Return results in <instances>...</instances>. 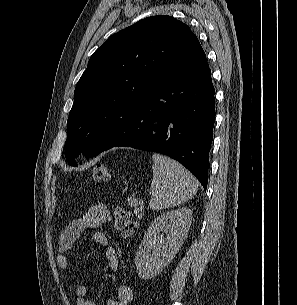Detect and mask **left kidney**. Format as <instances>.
I'll list each match as a JSON object with an SVG mask.
<instances>
[{
    "mask_svg": "<svg viewBox=\"0 0 297 305\" xmlns=\"http://www.w3.org/2000/svg\"><path fill=\"white\" fill-rule=\"evenodd\" d=\"M191 221L192 210L185 207L163 213L150 224L135 255L141 279L154 278L168 266L187 237Z\"/></svg>",
    "mask_w": 297,
    "mask_h": 305,
    "instance_id": "obj_1",
    "label": "left kidney"
}]
</instances>
